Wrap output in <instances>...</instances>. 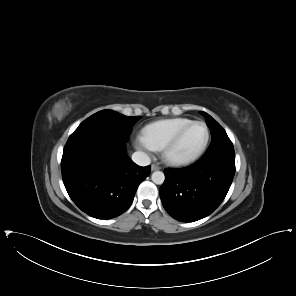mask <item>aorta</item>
<instances>
[{
	"instance_id": "762f6f07",
	"label": "aorta",
	"mask_w": 296,
	"mask_h": 296,
	"mask_svg": "<svg viewBox=\"0 0 296 296\" xmlns=\"http://www.w3.org/2000/svg\"><path fill=\"white\" fill-rule=\"evenodd\" d=\"M151 180L153 181V183L161 185L165 180V175L161 171H155L152 173Z\"/></svg>"
}]
</instances>
